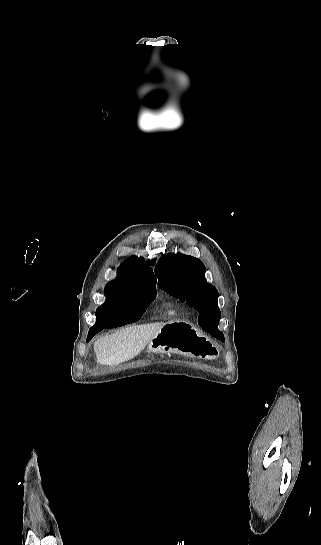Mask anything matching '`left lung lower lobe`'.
<instances>
[{"label": "left lung lower lobe", "mask_w": 321, "mask_h": 545, "mask_svg": "<svg viewBox=\"0 0 321 545\" xmlns=\"http://www.w3.org/2000/svg\"><path fill=\"white\" fill-rule=\"evenodd\" d=\"M218 324L219 320L211 319L207 322L206 325L201 326L205 331L216 337V334L219 332L218 330Z\"/></svg>", "instance_id": "obj_1"}]
</instances>
